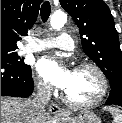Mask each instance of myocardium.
Returning <instances> with one entry per match:
<instances>
[{"instance_id": "f54148a6", "label": "myocardium", "mask_w": 122, "mask_h": 123, "mask_svg": "<svg viewBox=\"0 0 122 123\" xmlns=\"http://www.w3.org/2000/svg\"><path fill=\"white\" fill-rule=\"evenodd\" d=\"M83 68H90L97 73L101 81V90L96 97L87 101H74L71 98H69L65 92H63L62 98L64 102L72 107L84 108L98 104L106 97L109 90L108 78L105 72L98 65L91 62H81L75 66V69H83Z\"/></svg>"}]
</instances>
